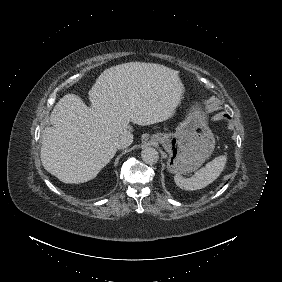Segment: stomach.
I'll list each match as a JSON object with an SVG mask.
<instances>
[{
	"mask_svg": "<svg viewBox=\"0 0 282 282\" xmlns=\"http://www.w3.org/2000/svg\"><path fill=\"white\" fill-rule=\"evenodd\" d=\"M210 110L200 99L193 100L174 133H157L154 139L168 153L167 169L188 173L198 169L213 153L215 136L209 126Z\"/></svg>",
	"mask_w": 282,
	"mask_h": 282,
	"instance_id": "1",
	"label": "stomach"
}]
</instances>
